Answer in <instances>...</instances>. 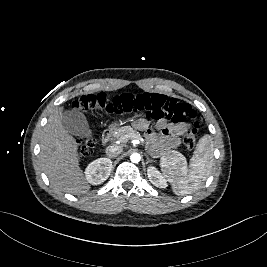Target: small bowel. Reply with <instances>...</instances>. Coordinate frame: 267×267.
Wrapping results in <instances>:
<instances>
[{
  "instance_id": "obj_1",
  "label": "small bowel",
  "mask_w": 267,
  "mask_h": 267,
  "mask_svg": "<svg viewBox=\"0 0 267 267\" xmlns=\"http://www.w3.org/2000/svg\"><path fill=\"white\" fill-rule=\"evenodd\" d=\"M136 129L145 131V136L153 152L176 148L180 145L181 138L187 133L190 125L185 123L173 124L160 120L156 123L158 133L149 128V122L138 119L134 122Z\"/></svg>"
}]
</instances>
